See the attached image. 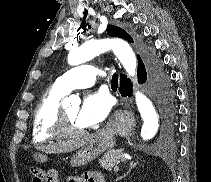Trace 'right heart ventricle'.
Segmentation results:
<instances>
[{
	"label": "right heart ventricle",
	"instance_id": "obj_1",
	"mask_svg": "<svg viewBox=\"0 0 211 182\" xmlns=\"http://www.w3.org/2000/svg\"><path fill=\"white\" fill-rule=\"evenodd\" d=\"M66 95L55 86L49 88L39 100L32 123V141L42 144L59 138L54 132V121L61 99Z\"/></svg>",
	"mask_w": 211,
	"mask_h": 182
}]
</instances>
